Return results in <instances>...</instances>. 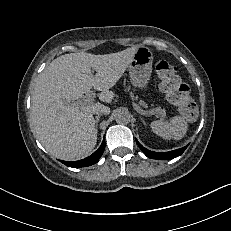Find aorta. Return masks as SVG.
Here are the masks:
<instances>
[{
	"label": "aorta",
	"instance_id": "762f6f07",
	"mask_svg": "<svg viewBox=\"0 0 231 231\" xmlns=\"http://www.w3.org/2000/svg\"><path fill=\"white\" fill-rule=\"evenodd\" d=\"M115 120L118 124L127 125L130 123L131 116L126 111H119L115 116Z\"/></svg>",
	"mask_w": 231,
	"mask_h": 231
}]
</instances>
